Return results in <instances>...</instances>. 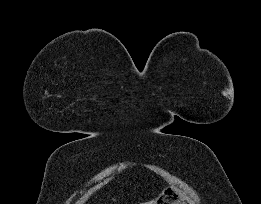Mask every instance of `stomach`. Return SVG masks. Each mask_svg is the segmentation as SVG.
Segmentation results:
<instances>
[{
	"instance_id": "1",
	"label": "stomach",
	"mask_w": 261,
	"mask_h": 204,
	"mask_svg": "<svg viewBox=\"0 0 261 204\" xmlns=\"http://www.w3.org/2000/svg\"><path fill=\"white\" fill-rule=\"evenodd\" d=\"M154 204H186L176 192L175 188H165L160 196L155 200Z\"/></svg>"
}]
</instances>
